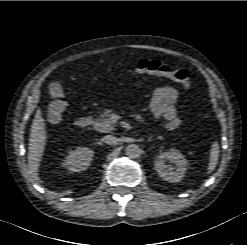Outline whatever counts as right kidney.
Listing matches in <instances>:
<instances>
[{
    "instance_id": "ca27d5eb",
    "label": "right kidney",
    "mask_w": 247,
    "mask_h": 245,
    "mask_svg": "<svg viewBox=\"0 0 247 245\" xmlns=\"http://www.w3.org/2000/svg\"><path fill=\"white\" fill-rule=\"evenodd\" d=\"M93 154V150L88 147H77L65 157L63 165L71 172L86 170L90 166Z\"/></svg>"
}]
</instances>
